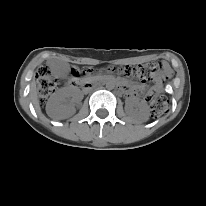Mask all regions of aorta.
Masks as SVG:
<instances>
[{"label":"aorta","instance_id":"aorta-1","mask_svg":"<svg viewBox=\"0 0 206 206\" xmlns=\"http://www.w3.org/2000/svg\"><path fill=\"white\" fill-rule=\"evenodd\" d=\"M114 87H115L114 82L111 81V80H108L107 83H106V88H107L108 90H112V89H114Z\"/></svg>","mask_w":206,"mask_h":206}]
</instances>
